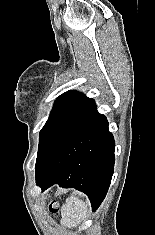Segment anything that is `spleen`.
I'll return each instance as SVG.
<instances>
[{"label": "spleen", "mask_w": 155, "mask_h": 235, "mask_svg": "<svg viewBox=\"0 0 155 235\" xmlns=\"http://www.w3.org/2000/svg\"><path fill=\"white\" fill-rule=\"evenodd\" d=\"M89 206L77 197H70L66 200L61 214V224L68 228L76 227L86 216Z\"/></svg>", "instance_id": "obj_1"}]
</instances>
